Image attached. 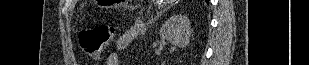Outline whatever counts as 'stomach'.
I'll return each instance as SVG.
<instances>
[{
	"instance_id": "0dacf381",
	"label": "stomach",
	"mask_w": 309,
	"mask_h": 65,
	"mask_svg": "<svg viewBox=\"0 0 309 65\" xmlns=\"http://www.w3.org/2000/svg\"><path fill=\"white\" fill-rule=\"evenodd\" d=\"M125 0H99L98 4L101 8L110 9L124 5Z\"/></svg>"
}]
</instances>
